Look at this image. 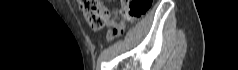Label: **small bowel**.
<instances>
[{
    "label": "small bowel",
    "mask_w": 238,
    "mask_h": 70,
    "mask_svg": "<svg viewBox=\"0 0 238 70\" xmlns=\"http://www.w3.org/2000/svg\"><path fill=\"white\" fill-rule=\"evenodd\" d=\"M107 25L108 27H110L108 33H107V38L108 39H112L114 38L115 36H118L124 29V24L123 23H117L115 22L114 20L108 18L107 20ZM117 28L119 30L118 33H114L113 32V29Z\"/></svg>",
    "instance_id": "obj_1"
}]
</instances>
